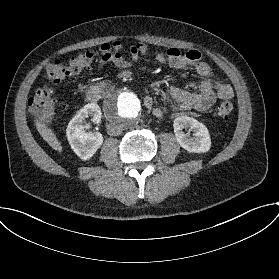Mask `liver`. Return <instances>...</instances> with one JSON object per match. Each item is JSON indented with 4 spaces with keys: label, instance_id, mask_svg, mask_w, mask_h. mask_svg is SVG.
<instances>
[{
    "label": "liver",
    "instance_id": "obj_1",
    "mask_svg": "<svg viewBox=\"0 0 279 279\" xmlns=\"http://www.w3.org/2000/svg\"><path fill=\"white\" fill-rule=\"evenodd\" d=\"M34 123L37 127L38 132L40 133L41 137L45 140V142L55 151L59 152L60 154L63 153L62 143L58 139L56 133L47 126L44 122L39 120H34Z\"/></svg>",
    "mask_w": 279,
    "mask_h": 279
}]
</instances>
